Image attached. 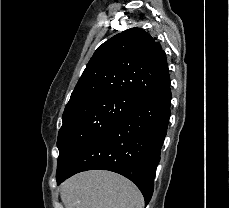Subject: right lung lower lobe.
Returning a JSON list of instances; mask_svg holds the SVG:
<instances>
[{
  "mask_svg": "<svg viewBox=\"0 0 229 208\" xmlns=\"http://www.w3.org/2000/svg\"><path fill=\"white\" fill-rule=\"evenodd\" d=\"M170 85L141 102L108 130L92 140L57 184L86 170L119 173L134 182L145 205L152 197L156 167L170 118Z\"/></svg>",
  "mask_w": 229,
  "mask_h": 208,
  "instance_id": "98d812e1",
  "label": "right lung lower lobe"
}]
</instances>
